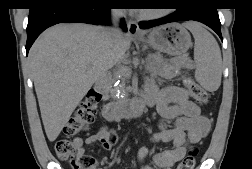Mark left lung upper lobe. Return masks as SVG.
<instances>
[{"label": "left lung upper lobe", "instance_id": "obj_1", "mask_svg": "<svg viewBox=\"0 0 252 169\" xmlns=\"http://www.w3.org/2000/svg\"><path fill=\"white\" fill-rule=\"evenodd\" d=\"M195 0H184L183 2L185 3H178L177 5L182 7L184 5H189V4H192V2H194Z\"/></svg>", "mask_w": 252, "mask_h": 169}]
</instances>
